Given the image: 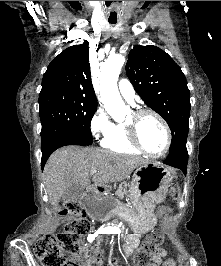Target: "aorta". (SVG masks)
I'll return each mask as SVG.
<instances>
[{
    "label": "aorta",
    "mask_w": 221,
    "mask_h": 266,
    "mask_svg": "<svg viewBox=\"0 0 221 266\" xmlns=\"http://www.w3.org/2000/svg\"><path fill=\"white\" fill-rule=\"evenodd\" d=\"M125 62L124 56L115 54L101 66V98L106 111L114 120H120L126 114V107L117 87L118 77Z\"/></svg>",
    "instance_id": "762f6f07"
}]
</instances>
